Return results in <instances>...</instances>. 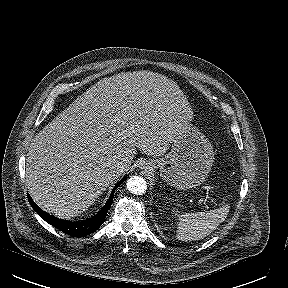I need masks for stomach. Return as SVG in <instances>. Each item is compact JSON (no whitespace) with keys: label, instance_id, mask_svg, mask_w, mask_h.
<instances>
[{"label":"stomach","instance_id":"obj_1","mask_svg":"<svg viewBox=\"0 0 288 288\" xmlns=\"http://www.w3.org/2000/svg\"><path fill=\"white\" fill-rule=\"evenodd\" d=\"M214 152L210 141L198 129L188 126L173 141L163 158L146 163V171L159 169L160 177L179 190L203 184L211 170Z\"/></svg>","mask_w":288,"mask_h":288}]
</instances>
